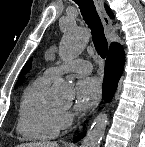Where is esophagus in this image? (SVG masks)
<instances>
[{"label": "esophagus", "instance_id": "34e87169", "mask_svg": "<svg viewBox=\"0 0 145 147\" xmlns=\"http://www.w3.org/2000/svg\"><path fill=\"white\" fill-rule=\"evenodd\" d=\"M94 4L97 9L98 15L101 18V21L103 23L105 33L109 37L112 30H113V22L105 11L103 0H94ZM99 103H100V101L93 108L91 115H93L95 113L96 109L99 106Z\"/></svg>", "mask_w": 145, "mask_h": 147}]
</instances>
